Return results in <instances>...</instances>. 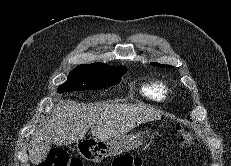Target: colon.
<instances>
[{
  "instance_id": "obj_1",
  "label": "colon",
  "mask_w": 231,
  "mask_h": 166,
  "mask_svg": "<svg viewBox=\"0 0 231 166\" xmlns=\"http://www.w3.org/2000/svg\"><path fill=\"white\" fill-rule=\"evenodd\" d=\"M196 139L190 135L182 137L181 144L184 148H191L196 144ZM143 159L132 155H121L116 157L112 166H142ZM39 166H83L78 158L72 157L66 150L61 148H52L45 161Z\"/></svg>"
}]
</instances>
